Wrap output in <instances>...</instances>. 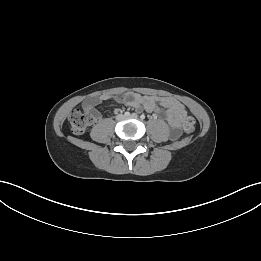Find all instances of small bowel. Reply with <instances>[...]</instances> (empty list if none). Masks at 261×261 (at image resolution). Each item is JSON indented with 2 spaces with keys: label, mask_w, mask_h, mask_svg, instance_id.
Segmentation results:
<instances>
[{
  "label": "small bowel",
  "mask_w": 261,
  "mask_h": 261,
  "mask_svg": "<svg viewBox=\"0 0 261 261\" xmlns=\"http://www.w3.org/2000/svg\"><path fill=\"white\" fill-rule=\"evenodd\" d=\"M106 100H113L116 103L133 107L137 111L145 110L156 116L164 117L171 128V137L176 139L180 135V127L186 116V110L182 103L172 97L148 96L136 93L114 96L99 95L86 99L82 103V108L85 112L93 115L94 121L99 122L102 116L95 107Z\"/></svg>",
  "instance_id": "c3829d8e"
}]
</instances>
